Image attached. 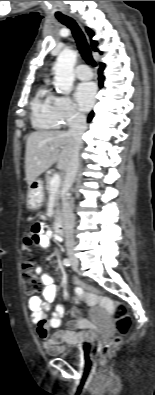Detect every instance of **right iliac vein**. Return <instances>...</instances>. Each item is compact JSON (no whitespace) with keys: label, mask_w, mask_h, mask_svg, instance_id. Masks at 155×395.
I'll return each instance as SVG.
<instances>
[{"label":"right iliac vein","mask_w":155,"mask_h":395,"mask_svg":"<svg viewBox=\"0 0 155 395\" xmlns=\"http://www.w3.org/2000/svg\"><path fill=\"white\" fill-rule=\"evenodd\" d=\"M71 261H72V263H74V264H78V261H77V259H76V258H74V257H71Z\"/></svg>","instance_id":"obj_1"}]
</instances>
